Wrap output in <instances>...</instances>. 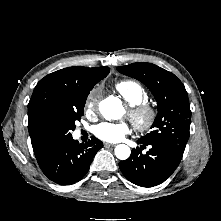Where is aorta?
<instances>
[{"instance_id":"aorta-1","label":"aorta","mask_w":221,"mask_h":221,"mask_svg":"<svg viewBox=\"0 0 221 221\" xmlns=\"http://www.w3.org/2000/svg\"><path fill=\"white\" fill-rule=\"evenodd\" d=\"M99 111L107 120H118L123 115L122 102L117 97H108L99 103ZM131 154L130 148L125 144H119L115 148V155L120 160H126Z\"/></svg>"}]
</instances>
